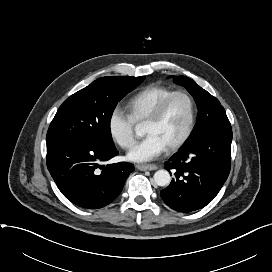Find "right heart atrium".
I'll list each match as a JSON object with an SVG mask.
<instances>
[{"mask_svg":"<svg viewBox=\"0 0 272 272\" xmlns=\"http://www.w3.org/2000/svg\"><path fill=\"white\" fill-rule=\"evenodd\" d=\"M108 132L116 144L129 149L135 141V122L121 109L115 108L108 118Z\"/></svg>","mask_w":272,"mask_h":272,"instance_id":"obj_1","label":"right heart atrium"}]
</instances>
